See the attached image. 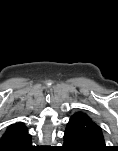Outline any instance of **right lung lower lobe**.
<instances>
[{
	"mask_svg": "<svg viewBox=\"0 0 118 151\" xmlns=\"http://www.w3.org/2000/svg\"><path fill=\"white\" fill-rule=\"evenodd\" d=\"M30 150H33V146L31 145V140L25 143L24 145L20 146V148L14 151H30Z\"/></svg>",
	"mask_w": 118,
	"mask_h": 151,
	"instance_id": "obj_1",
	"label": "right lung lower lobe"
}]
</instances>
